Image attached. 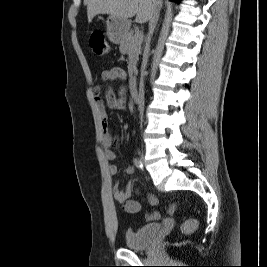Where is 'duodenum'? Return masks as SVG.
<instances>
[{
    "label": "duodenum",
    "instance_id": "obj_1",
    "mask_svg": "<svg viewBox=\"0 0 267 267\" xmlns=\"http://www.w3.org/2000/svg\"><path fill=\"white\" fill-rule=\"evenodd\" d=\"M129 90H130V95H131L132 99L137 100L138 99V89H137L135 76L131 77Z\"/></svg>",
    "mask_w": 267,
    "mask_h": 267
}]
</instances>
